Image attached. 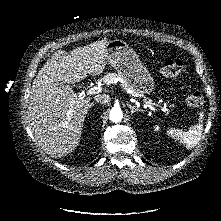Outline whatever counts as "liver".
I'll return each instance as SVG.
<instances>
[{"mask_svg":"<svg viewBox=\"0 0 221 221\" xmlns=\"http://www.w3.org/2000/svg\"><path fill=\"white\" fill-rule=\"evenodd\" d=\"M108 40L55 52L32 83L28 120L38 145L53 158L71 153L81 140L90 97L78 95L69 84L98 76L106 66Z\"/></svg>","mask_w":221,"mask_h":221,"instance_id":"6515ba94","label":"liver"}]
</instances>
